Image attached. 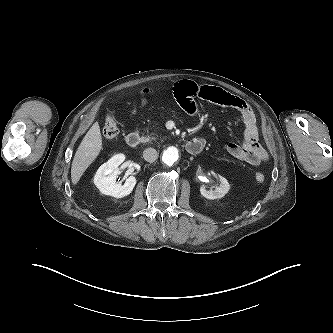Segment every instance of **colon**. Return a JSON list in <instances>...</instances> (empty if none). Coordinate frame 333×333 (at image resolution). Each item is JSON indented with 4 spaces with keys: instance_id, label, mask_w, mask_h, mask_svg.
<instances>
[{
    "instance_id": "colon-1",
    "label": "colon",
    "mask_w": 333,
    "mask_h": 333,
    "mask_svg": "<svg viewBox=\"0 0 333 333\" xmlns=\"http://www.w3.org/2000/svg\"><path fill=\"white\" fill-rule=\"evenodd\" d=\"M103 133H104L105 137H107V138H114L119 133L117 120H116L113 112H108L104 116ZM255 180L258 183H262L265 181V175L261 172H257L255 174Z\"/></svg>"
}]
</instances>
